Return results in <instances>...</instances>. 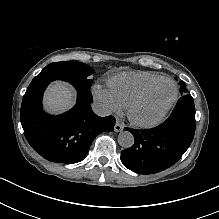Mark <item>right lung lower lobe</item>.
I'll use <instances>...</instances> for the list:
<instances>
[{
  "label": "right lung lower lobe",
  "instance_id": "1",
  "mask_svg": "<svg viewBox=\"0 0 219 219\" xmlns=\"http://www.w3.org/2000/svg\"><path fill=\"white\" fill-rule=\"evenodd\" d=\"M54 80L71 83L78 92L76 105L68 112L53 116L42 109V96ZM90 88L79 80L57 75H37L23 97L20 119L26 139L45 159L64 164L82 161L94 138L104 131H112L113 116L99 117L90 106Z\"/></svg>",
  "mask_w": 219,
  "mask_h": 219
}]
</instances>
